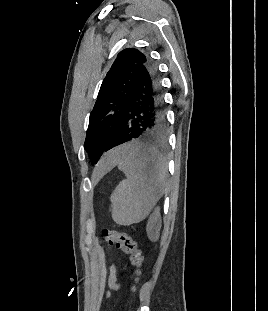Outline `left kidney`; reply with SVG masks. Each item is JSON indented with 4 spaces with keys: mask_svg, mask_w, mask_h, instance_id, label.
<instances>
[{
    "mask_svg": "<svg viewBox=\"0 0 268 311\" xmlns=\"http://www.w3.org/2000/svg\"><path fill=\"white\" fill-rule=\"evenodd\" d=\"M159 230H160V214L159 208H157L150 217L149 222L147 224L148 237L151 240L155 241L159 236Z\"/></svg>",
    "mask_w": 268,
    "mask_h": 311,
    "instance_id": "left-kidney-1",
    "label": "left kidney"
}]
</instances>
